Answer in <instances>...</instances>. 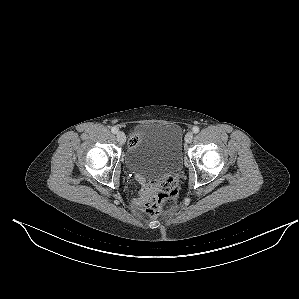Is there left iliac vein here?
<instances>
[{
    "label": "left iliac vein",
    "mask_w": 299,
    "mask_h": 299,
    "mask_svg": "<svg viewBox=\"0 0 299 299\" xmlns=\"http://www.w3.org/2000/svg\"><path fill=\"white\" fill-rule=\"evenodd\" d=\"M192 140H193V133L192 132H188L185 135V141H186V143H191Z\"/></svg>",
    "instance_id": "1"
}]
</instances>
